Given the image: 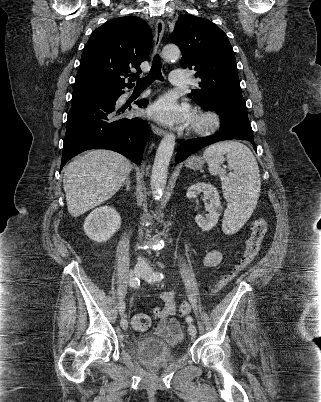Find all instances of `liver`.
Wrapping results in <instances>:
<instances>
[{
	"label": "liver",
	"mask_w": 321,
	"mask_h": 402,
	"mask_svg": "<svg viewBox=\"0 0 321 402\" xmlns=\"http://www.w3.org/2000/svg\"><path fill=\"white\" fill-rule=\"evenodd\" d=\"M131 170L127 158L109 150H92L76 158L63 178L69 214L78 217L111 198Z\"/></svg>",
	"instance_id": "1"
}]
</instances>
